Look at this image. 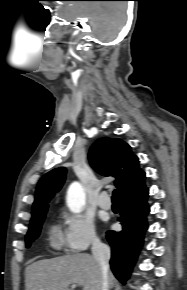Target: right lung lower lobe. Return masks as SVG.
Here are the masks:
<instances>
[{"mask_svg": "<svg viewBox=\"0 0 187 290\" xmlns=\"http://www.w3.org/2000/svg\"><path fill=\"white\" fill-rule=\"evenodd\" d=\"M147 197L148 193L137 200L122 202L119 218L122 231L106 233L112 251L110 266L116 278L123 284L129 278L142 246L144 231L147 229L146 215L150 211Z\"/></svg>", "mask_w": 187, "mask_h": 290, "instance_id": "right-lung-lower-lobe-1", "label": "right lung lower lobe"}]
</instances>
